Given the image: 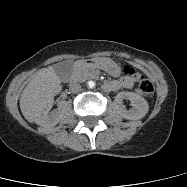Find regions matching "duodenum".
Instances as JSON below:
<instances>
[{"label": "duodenum", "mask_w": 187, "mask_h": 187, "mask_svg": "<svg viewBox=\"0 0 187 187\" xmlns=\"http://www.w3.org/2000/svg\"><path fill=\"white\" fill-rule=\"evenodd\" d=\"M93 62L92 60L90 59H81V60H77L74 64L75 68H79L85 64H88V63H91ZM106 86V83L104 84V87Z\"/></svg>", "instance_id": "duodenum-1"}]
</instances>
